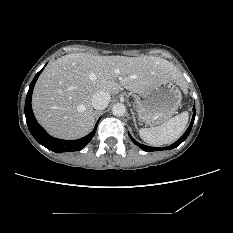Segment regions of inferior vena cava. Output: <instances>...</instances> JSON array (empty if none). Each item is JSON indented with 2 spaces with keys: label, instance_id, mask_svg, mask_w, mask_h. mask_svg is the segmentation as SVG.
<instances>
[{
  "label": "inferior vena cava",
  "instance_id": "602c4592",
  "mask_svg": "<svg viewBox=\"0 0 233 233\" xmlns=\"http://www.w3.org/2000/svg\"><path fill=\"white\" fill-rule=\"evenodd\" d=\"M111 100V95L103 90L97 91L92 97V107L97 110H104Z\"/></svg>",
  "mask_w": 233,
  "mask_h": 233
}]
</instances>
